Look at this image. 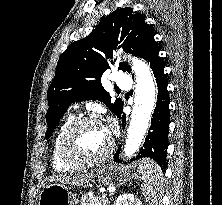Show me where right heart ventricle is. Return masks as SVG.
Listing matches in <instances>:
<instances>
[{
  "label": "right heart ventricle",
  "mask_w": 222,
  "mask_h": 205,
  "mask_svg": "<svg viewBox=\"0 0 222 205\" xmlns=\"http://www.w3.org/2000/svg\"><path fill=\"white\" fill-rule=\"evenodd\" d=\"M73 121V116H69L65 122L62 124V126L59 128L57 134L55 135V138L53 140L52 150H51V160H52V166L54 170L58 173H68L72 171L78 170L79 167L67 164L61 157L60 154V139L65 131V129L70 125V123Z\"/></svg>",
  "instance_id": "right-heart-ventricle-1"
}]
</instances>
